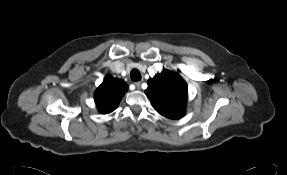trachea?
Returning <instances> with one entry per match:
<instances>
[{
	"label": "trachea",
	"mask_w": 287,
	"mask_h": 175,
	"mask_svg": "<svg viewBox=\"0 0 287 175\" xmlns=\"http://www.w3.org/2000/svg\"><path fill=\"white\" fill-rule=\"evenodd\" d=\"M130 78H131V80H133V81H140V80H141V74H140L139 70L133 69V70L130 72Z\"/></svg>",
	"instance_id": "1"
}]
</instances>
